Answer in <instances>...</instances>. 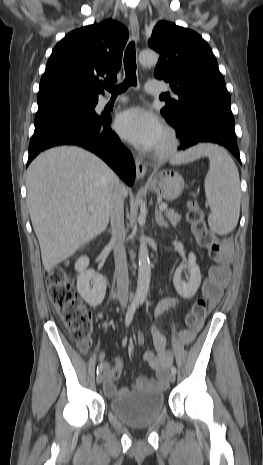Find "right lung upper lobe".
Wrapping results in <instances>:
<instances>
[{
	"instance_id": "cb5924a9",
	"label": "right lung upper lobe",
	"mask_w": 263,
	"mask_h": 465,
	"mask_svg": "<svg viewBox=\"0 0 263 465\" xmlns=\"http://www.w3.org/2000/svg\"><path fill=\"white\" fill-rule=\"evenodd\" d=\"M127 28L105 20L67 34L54 48L40 81L38 101L61 96L97 99L117 81Z\"/></svg>"
}]
</instances>
